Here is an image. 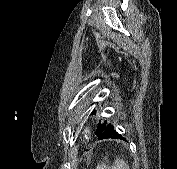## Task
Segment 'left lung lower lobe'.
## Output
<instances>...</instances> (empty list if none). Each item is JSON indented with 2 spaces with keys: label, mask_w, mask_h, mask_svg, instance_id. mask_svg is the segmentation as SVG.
Returning <instances> with one entry per match:
<instances>
[{
  "label": "left lung lower lobe",
  "mask_w": 177,
  "mask_h": 169,
  "mask_svg": "<svg viewBox=\"0 0 177 169\" xmlns=\"http://www.w3.org/2000/svg\"><path fill=\"white\" fill-rule=\"evenodd\" d=\"M124 139L121 134H119L115 129L113 125H110L109 129L106 128L105 132L98 137V140L102 139Z\"/></svg>",
  "instance_id": "left-lung-lower-lobe-1"
}]
</instances>
